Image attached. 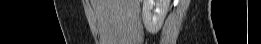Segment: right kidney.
Listing matches in <instances>:
<instances>
[{
  "instance_id": "right-kidney-1",
  "label": "right kidney",
  "mask_w": 261,
  "mask_h": 44,
  "mask_svg": "<svg viewBox=\"0 0 261 44\" xmlns=\"http://www.w3.org/2000/svg\"><path fill=\"white\" fill-rule=\"evenodd\" d=\"M169 4L170 0H144L142 19L148 32L153 34L160 30L168 12Z\"/></svg>"
}]
</instances>
